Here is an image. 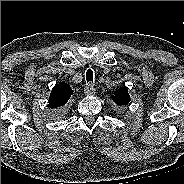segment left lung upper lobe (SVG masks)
Returning <instances> with one entry per match:
<instances>
[{"mask_svg": "<svg viewBox=\"0 0 184 184\" xmlns=\"http://www.w3.org/2000/svg\"><path fill=\"white\" fill-rule=\"evenodd\" d=\"M112 99L119 106L127 105L130 102V95L127 87L124 85L122 88L118 89L114 93Z\"/></svg>", "mask_w": 184, "mask_h": 184, "instance_id": "obj_1", "label": "left lung upper lobe"}]
</instances>
